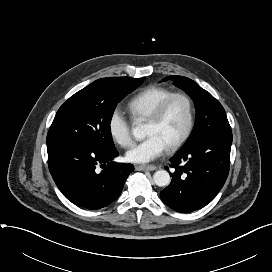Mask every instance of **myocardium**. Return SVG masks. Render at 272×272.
I'll return each instance as SVG.
<instances>
[{
    "label": "myocardium",
    "mask_w": 272,
    "mask_h": 272,
    "mask_svg": "<svg viewBox=\"0 0 272 272\" xmlns=\"http://www.w3.org/2000/svg\"><path fill=\"white\" fill-rule=\"evenodd\" d=\"M177 98H180L185 101L187 106V123L184 132L182 135L170 146L167 147L168 151H175L179 149L181 146L185 144V142L189 139L195 124V108L192 99L183 92H173L165 99H163L151 115L147 118V121L150 122H158L164 116L167 108L171 104V102Z\"/></svg>",
    "instance_id": "f54148a6"
}]
</instances>
